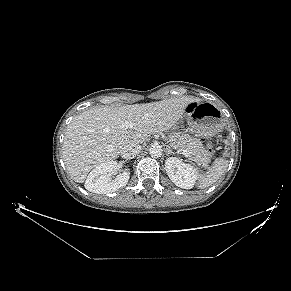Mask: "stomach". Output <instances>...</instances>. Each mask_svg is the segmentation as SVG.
I'll use <instances>...</instances> for the list:
<instances>
[{"label":"stomach","instance_id":"0dacf381","mask_svg":"<svg viewBox=\"0 0 291 291\" xmlns=\"http://www.w3.org/2000/svg\"><path fill=\"white\" fill-rule=\"evenodd\" d=\"M186 120L192 133L201 138L213 137L224 127L221 111L210 102L197 103Z\"/></svg>","mask_w":291,"mask_h":291}]
</instances>
